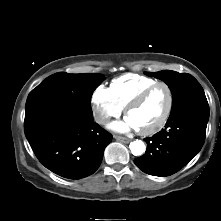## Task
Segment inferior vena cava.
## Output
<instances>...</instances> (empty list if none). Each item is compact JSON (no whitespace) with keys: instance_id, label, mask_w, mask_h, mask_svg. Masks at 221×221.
I'll list each match as a JSON object with an SVG mask.
<instances>
[{"instance_id":"602c4592","label":"inferior vena cava","mask_w":221,"mask_h":221,"mask_svg":"<svg viewBox=\"0 0 221 221\" xmlns=\"http://www.w3.org/2000/svg\"><path fill=\"white\" fill-rule=\"evenodd\" d=\"M95 121L99 124H105L108 122V118L104 115H96Z\"/></svg>"}]
</instances>
